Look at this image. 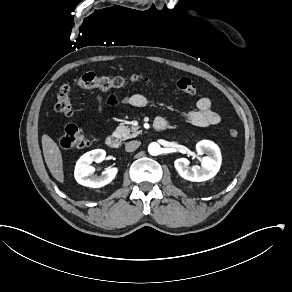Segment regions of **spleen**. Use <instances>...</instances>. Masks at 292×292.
<instances>
[{"instance_id": "3e777b00", "label": "spleen", "mask_w": 292, "mask_h": 292, "mask_svg": "<svg viewBox=\"0 0 292 292\" xmlns=\"http://www.w3.org/2000/svg\"><path fill=\"white\" fill-rule=\"evenodd\" d=\"M236 173V169H234V171H233V175Z\"/></svg>"}]
</instances>
